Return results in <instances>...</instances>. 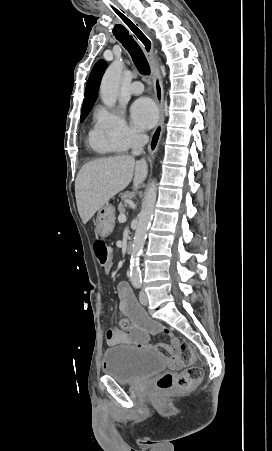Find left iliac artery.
Here are the masks:
<instances>
[{
	"label": "left iliac artery",
	"instance_id": "left-iliac-artery-1",
	"mask_svg": "<svg viewBox=\"0 0 272 451\" xmlns=\"http://www.w3.org/2000/svg\"><path fill=\"white\" fill-rule=\"evenodd\" d=\"M138 283V288L141 287V281H136Z\"/></svg>",
	"mask_w": 272,
	"mask_h": 451
}]
</instances>
